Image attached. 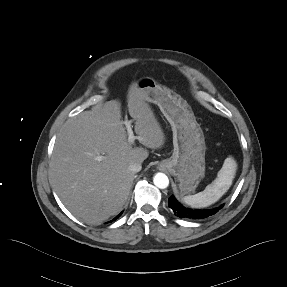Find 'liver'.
<instances>
[{
	"instance_id": "6515ba94",
	"label": "liver",
	"mask_w": 287,
	"mask_h": 287,
	"mask_svg": "<svg viewBox=\"0 0 287 287\" xmlns=\"http://www.w3.org/2000/svg\"><path fill=\"white\" fill-rule=\"evenodd\" d=\"M127 103L137 139L145 148L127 141L117 101L68 120L57 136L50 163L51 182L66 208L86 223L98 224L120 212L135 178L129 166L148 157L146 148L157 149L165 142L136 82L129 87Z\"/></svg>"
}]
</instances>
